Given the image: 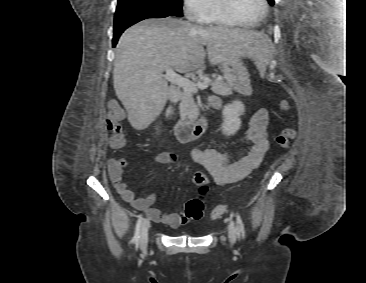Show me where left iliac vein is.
<instances>
[{"instance_id": "left-iliac-vein-1", "label": "left iliac vein", "mask_w": 366, "mask_h": 283, "mask_svg": "<svg viewBox=\"0 0 366 283\" xmlns=\"http://www.w3.org/2000/svg\"><path fill=\"white\" fill-rule=\"evenodd\" d=\"M228 238L231 244H234L237 238V231L231 217L228 219Z\"/></svg>"}]
</instances>
